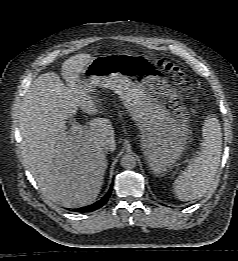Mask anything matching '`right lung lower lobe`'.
<instances>
[{"label":"right lung lower lobe","mask_w":238,"mask_h":261,"mask_svg":"<svg viewBox=\"0 0 238 261\" xmlns=\"http://www.w3.org/2000/svg\"><path fill=\"white\" fill-rule=\"evenodd\" d=\"M111 192H112V186L110 187L108 192L99 201H97L96 203L89 205L87 207L80 208L79 212H92V211H95V210L101 208L103 205H105L107 203V201L111 195Z\"/></svg>","instance_id":"obj_1"}]
</instances>
